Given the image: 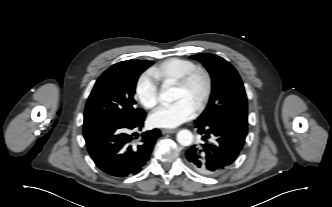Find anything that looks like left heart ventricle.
Here are the masks:
<instances>
[{
  "mask_svg": "<svg viewBox=\"0 0 332 207\" xmlns=\"http://www.w3.org/2000/svg\"><path fill=\"white\" fill-rule=\"evenodd\" d=\"M204 81L201 76H198L194 82L192 83L191 87L188 90L181 89L178 86H175V100L185 99L193 106L196 105V102L203 90Z\"/></svg>",
  "mask_w": 332,
  "mask_h": 207,
  "instance_id": "left-heart-ventricle-1",
  "label": "left heart ventricle"
}]
</instances>
